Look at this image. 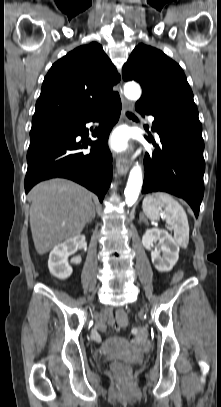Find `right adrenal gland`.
<instances>
[{
	"mask_svg": "<svg viewBox=\"0 0 221 407\" xmlns=\"http://www.w3.org/2000/svg\"><path fill=\"white\" fill-rule=\"evenodd\" d=\"M94 218H95V207L93 206V215H92V218H90L87 223H88V224L91 223L92 219H94Z\"/></svg>",
	"mask_w": 221,
	"mask_h": 407,
	"instance_id": "1",
	"label": "right adrenal gland"
}]
</instances>
